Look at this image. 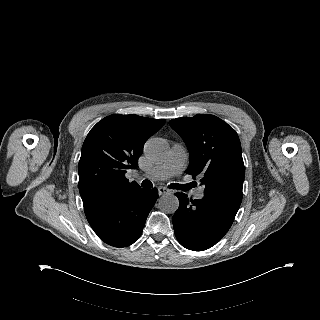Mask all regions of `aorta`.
Listing matches in <instances>:
<instances>
[{"instance_id": "obj_1", "label": "aorta", "mask_w": 320, "mask_h": 320, "mask_svg": "<svg viewBox=\"0 0 320 320\" xmlns=\"http://www.w3.org/2000/svg\"><path fill=\"white\" fill-rule=\"evenodd\" d=\"M144 153L151 161H162L169 153V146L163 139L152 138L145 144ZM159 205L163 212L175 213L179 207V200L174 194L167 193L160 197Z\"/></svg>"}]
</instances>
